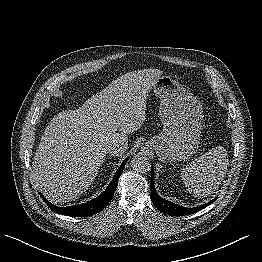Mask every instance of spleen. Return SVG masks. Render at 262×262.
I'll list each match as a JSON object with an SVG mask.
<instances>
[{
	"instance_id": "obj_1",
	"label": "spleen",
	"mask_w": 262,
	"mask_h": 262,
	"mask_svg": "<svg viewBox=\"0 0 262 262\" xmlns=\"http://www.w3.org/2000/svg\"><path fill=\"white\" fill-rule=\"evenodd\" d=\"M228 168L226 150L212 148L181 171L185 187L198 197H207L221 184Z\"/></svg>"
}]
</instances>
